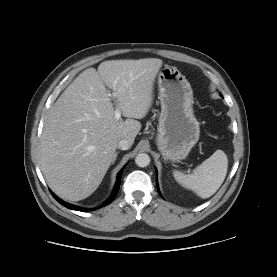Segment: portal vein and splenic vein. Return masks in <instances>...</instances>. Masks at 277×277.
Masks as SVG:
<instances>
[{"mask_svg":"<svg viewBox=\"0 0 277 277\" xmlns=\"http://www.w3.org/2000/svg\"><path fill=\"white\" fill-rule=\"evenodd\" d=\"M114 96V95H113ZM114 117L116 120H119L121 118V112L119 109H116L114 112Z\"/></svg>","mask_w":277,"mask_h":277,"instance_id":"obj_1","label":"portal vein and splenic vein"}]
</instances>
